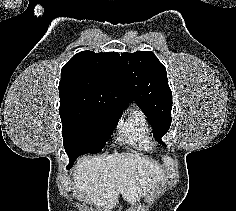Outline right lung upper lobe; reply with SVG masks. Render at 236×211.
Instances as JSON below:
<instances>
[{
  "mask_svg": "<svg viewBox=\"0 0 236 211\" xmlns=\"http://www.w3.org/2000/svg\"><path fill=\"white\" fill-rule=\"evenodd\" d=\"M60 108L125 109L132 102L122 59L118 53L82 51L61 70Z\"/></svg>",
  "mask_w": 236,
  "mask_h": 211,
  "instance_id": "1",
  "label": "right lung upper lobe"
}]
</instances>
